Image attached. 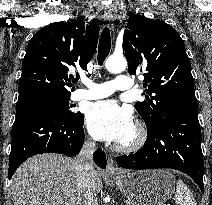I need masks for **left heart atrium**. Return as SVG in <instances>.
I'll use <instances>...</instances> for the list:
<instances>
[{
	"label": "left heart atrium",
	"mask_w": 212,
	"mask_h": 205,
	"mask_svg": "<svg viewBox=\"0 0 212 205\" xmlns=\"http://www.w3.org/2000/svg\"><path fill=\"white\" fill-rule=\"evenodd\" d=\"M90 134L100 140L122 142L134 131L131 110L114 100L92 104L86 116Z\"/></svg>",
	"instance_id": "left-heart-atrium-1"
}]
</instances>
